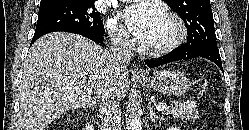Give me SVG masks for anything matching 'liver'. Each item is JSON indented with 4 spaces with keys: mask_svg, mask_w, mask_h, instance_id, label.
Wrapping results in <instances>:
<instances>
[{
    "mask_svg": "<svg viewBox=\"0 0 249 130\" xmlns=\"http://www.w3.org/2000/svg\"><path fill=\"white\" fill-rule=\"evenodd\" d=\"M22 74L20 130H44L63 113L93 107L109 94L121 101L130 85L128 68L115 67L107 50L65 32L39 38L28 52Z\"/></svg>",
    "mask_w": 249,
    "mask_h": 130,
    "instance_id": "1",
    "label": "liver"
}]
</instances>
